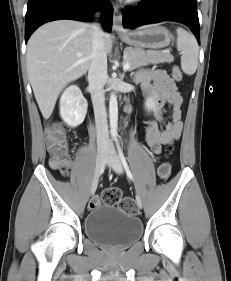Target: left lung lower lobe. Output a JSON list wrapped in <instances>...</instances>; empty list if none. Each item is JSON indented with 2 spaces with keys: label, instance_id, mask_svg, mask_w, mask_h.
I'll list each match as a JSON object with an SVG mask.
<instances>
[{
  "label": "left lung lower lobe",
  "instance_id": "obj_1",
  "mask_svg": "<svg viewBox=\"0 0 231 281\" xmlns=\"http://www.w3.org/2000/svg\"><path fill=\"white\" fill-rule=\"evenodd\" d=\"M162 21H176L189 27L200 44L199 19L196 0H146L135 9L125 8L124 28H134Z\"/></svg>",
  "mask_w": 231,
  "mask_h": 281
}]
</instances>
